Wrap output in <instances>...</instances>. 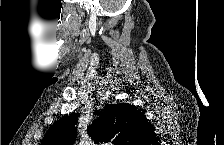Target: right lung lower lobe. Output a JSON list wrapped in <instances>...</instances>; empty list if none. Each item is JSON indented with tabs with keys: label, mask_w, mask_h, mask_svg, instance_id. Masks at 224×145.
I'll use <instances>...</instances> for the list:
<instances>
[{
	"label": "right lung lower lobe",
	"mask_w": 224,
	"mask_h": 145,
	"mask_svg": "<svg viewBox=\"0 0 224 145\" xmlns=\"http://www.w3.org/2000/svg\"><path fill=\"white\" fill-rule=\"evenodd\" d=\"M152 145H158L157 140L155 139L154 141L151 142Z\"/></svg>",
	"instance_id": "98d812e1"
}]
</instances>
